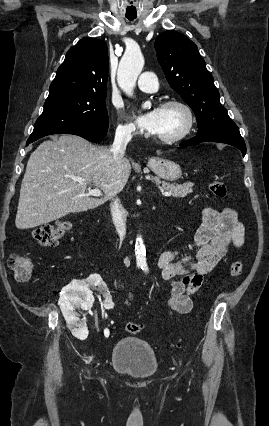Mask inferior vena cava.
I'll return each instance as SVG.
<instances>
[{"label": "inferior vena cava", "instance_id": "obj_1", "mask_svg": "<svg viewBox=\"0 0 269 426\" xmlns=\"http://www.w3.org/2000/svg\"><path fill=\"white\" fill-rule=\"evenodd\" d=\"M131 138L132 135L130 131L123 130L116 132L111 152L114 160L117 163H120L121 159L123 158L126 146L131 140ZM118 192L119 191L111 194L110 199H112L113 202H111L110 207L113 223L120 238L123 239L126 234V211L120 204V200L118 198H115Z\"/></svg>", "mask_w": 269, "mask_h": 426}]
</instances>
